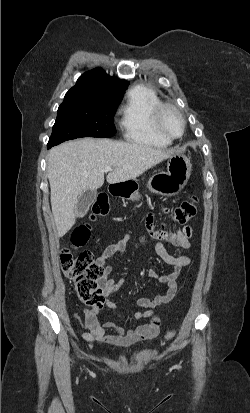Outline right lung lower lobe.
<instances>
[{
	"mask_svg": "<svg viewBox=\"0 0 250 413\" xmlns=\"http://www.w3.org/2000/svg\"><path fill=\"white\" fill-rule=\"evenodd\" d=\"M52 146H47L48 149H50Z\"/></svg>",
	"mask_w": 250,
	"mask_h": 413,
	"instance_id": "obj_1",
	"label": "right lung lower lobe"
}]
</instances>
